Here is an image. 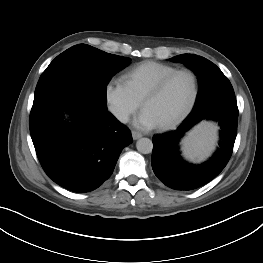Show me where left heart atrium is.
I'll return each instance as SVG.
<instances>
[{"mask_svg":"<svg viewBox=\"0 0 263 263\" xmlns=\"http://www.w3.org/2000/svg\"><path fill=\"white\" fill-rule=\"evenodd\" d=\"M134 125L143 130H150L159 126L152 114L146 109H143L136 117Z\"/></svg>","mask_w":263,"mask_h":263,"instance_id":"39dd6f15","label":"left heart atrium"}]
</instances>
